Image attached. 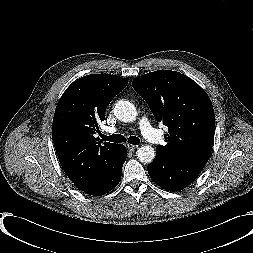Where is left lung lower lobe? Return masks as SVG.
<instances>
[{
	"instance_id": "left-lung-lower-lobe-1",
	"label": "left lung lower lobe",
	"mask_w": 253,
	"mask_h": 253,
	"mask_svg": "<svg viewBox=\"0 0 253 253\" xmlns=\"http://www.w3.org/2000/svg\"><path fill=\"white\" fill-rule=\"evenodd\" d=\"M205 162L191 159H174L157 155L148 165L151 179L167 191H178L191 184L200 174Z\"/></svg>"
}]
</instances>
